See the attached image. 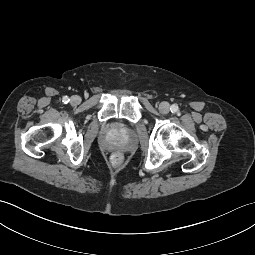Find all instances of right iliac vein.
<instances>
[{"instance_id":"63e3f726","label":"right iliac vein","mask_w":255,"mask_h":255,"mask_svg":"<svg viewBox=\"0 0 255 255\" xmlns=\"http://www.w3.org/2000/svg\"><path fill=\"white\" fill-rule=\"evenodd\" d=\"M81 102V98L78 95H74L70 99L72 105H78Z\"/></svg>"}]
</instances>
